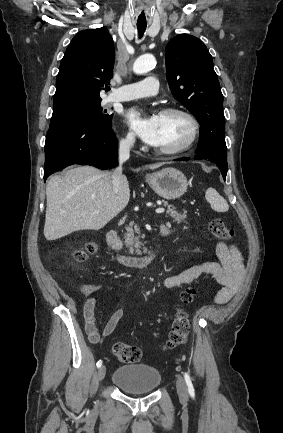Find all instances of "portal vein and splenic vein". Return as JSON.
<instances>
[{"mask_svg":"<svg viewBox=\"0 0 283 433\" xmlns=\"http://www.w3.org/2000/svg\"><path fill=\"white\" fill-rule=\"evenodd\" d=\"M165 208H156L155 212H164Z\"/></svg>","mask_w":283,"mask_h":433,"instance_id":"portal-vein-and-splenic-vein-1","label":"portal vein and splenic vein"}]
</instances>
